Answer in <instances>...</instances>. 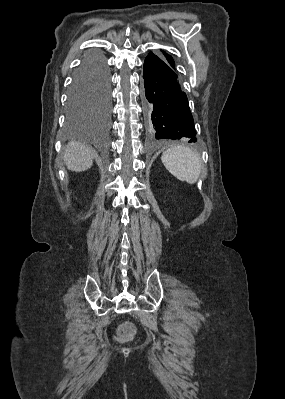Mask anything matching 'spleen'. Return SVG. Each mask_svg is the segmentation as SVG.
Wrapping results in <instances>:
<instances>
[{
  "mask_svg": "<svg viewBox=\"0 0 285 399\" xmlns=\"http://www.w3.org/2000/svg\"><path fill=\"white\" fill-rule=\"evenodd\" d=\"M161 161L165 168L181 181L196 183L202 169L200 155L184 145H175L163 152Z\"/></svg>",
  "mask_w": 285,
  "mask_h": 399,
  "instance_id": "3e777b00",
  "label": "spleen"
}]
</instances>
